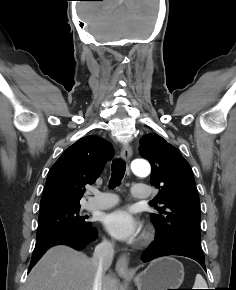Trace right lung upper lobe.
<instances>
[{"instance_id":"1","label":"right lung upper lobe","mask_w":236,"mask_h":290,"mask_svg":"<svg viewBox=\"0 0 236 290\" xmlns=\"http://www.w3.org/2000/svg\"><path fill=\"white\" fill-rule=\"evenodd\" d=\"M113 156L103 138L86 136L67 148L51 167L41 198V210L80 205L86 184H93Z\"/></svg>"}]
</instances>
